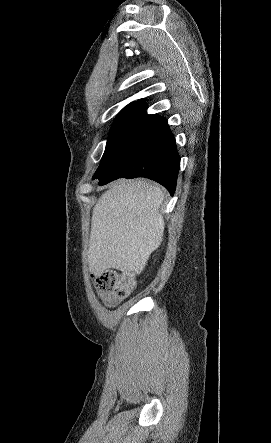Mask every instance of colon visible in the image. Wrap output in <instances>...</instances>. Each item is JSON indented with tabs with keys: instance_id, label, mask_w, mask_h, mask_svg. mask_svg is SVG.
Returning <instances> with one entry per match:
<instances>
[{
	"instance_id": "5ec220e1",
	"label": "colon",
	"mask_w": 271,
	"mask_h": 443,
	"mask_svg": "<svg viewBox=\"0 0 271 443\" xmlns=\"http://www.w3.org/2000/svg\"><path fill=\"white\" fill-rule=\"evenodd\" d=\"M92 282L98 292L117 299L126 298L134 289L133 275L125 271L109 270L92 275Z\"/></svg>"
}]
</instances>
